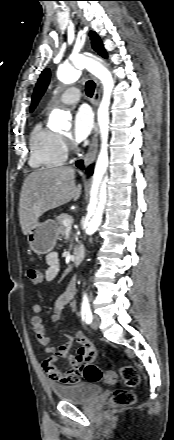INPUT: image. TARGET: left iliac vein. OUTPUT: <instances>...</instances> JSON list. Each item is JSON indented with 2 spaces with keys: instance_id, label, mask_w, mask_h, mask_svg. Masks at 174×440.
I'll list each match as a JSON object with an SVG mask.
<instances>
[{
  "instance_id": "4c4485c4",
  "label": "left iliac vein",
  "mask_w": 174,
  "mask_h": 440,
  "mask_svg": "<svg viewBox=\"0 0 174 440\" xmlns=\"http://www.w3.org/2000/svg\"><path fill=\"white\" fill-rule=\"evenodd\" d=\"M99 325H100V318L97 315H95L93 317L91 326L93 329L97 330L99 328Z\"/></svg>"
}]
</instances>
